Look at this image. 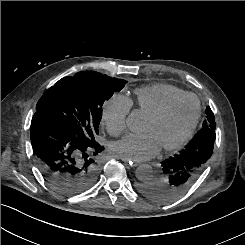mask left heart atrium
I'll use <instances>...</instances> for the list:
<instances>
[{
    "instance_id": "39dd6f15",
    "label": "left heart atrium",
    "mask_w": 245,
    "mask_h": 245,
    "mask_svg": "<svg viewBox=\"0 0 245 245\" xmlns=\"http://www.w3.org/2000/svg\"><path fill=\"white\" fill-rule=\"evenodd\" d=\"M112 151L123 158L144 161L153 157L160 149L149 132L129 134L111 146Z\"/></svg>"
}]
</instances>
